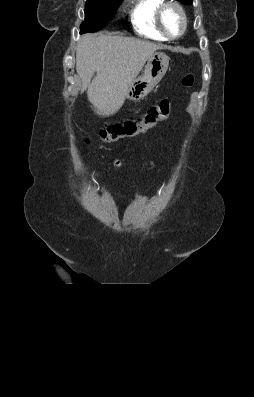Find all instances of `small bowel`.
Listing matches in <instances>:
<instances>
[{
  "label": "small bowel",
  "instance_id": "obj_1",
  "mask_svg": "<svg viewBox=\"0 0 254 397\" xmlns=\"http://www.w3.org/2000/svg\"><path fill=\"white\" fill-rule=\"evenodd\" d=\"M114 166L115 168H118L120 166V162L118 160H116L114 162ZM154 166V163L151 162L150 167L152 168ZM130 188L134 189L135 191V198L139 201L145 202L147 201V198L145 195H143L140 190L138 189V187H136L135 185H130Z\"/></svg>",
  "mask_w": 254,
  "mask_h": 397
}]
</instances>
